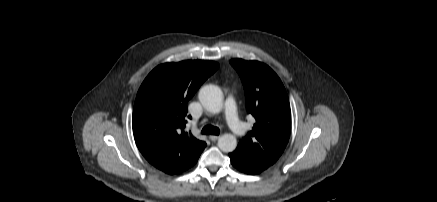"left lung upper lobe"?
Instances as JSON below:
<instances>
[{
  "mask_svg": "<svg viewBox=\"0 0 437 202\" xmlns=\"http://www.w3.org/2000/svg\"><path fill=\"white\" fill-rule=\"evenodd\" d=\"M230 63L243 82L247 112L256 120L236 149L269 167L281 156L290 136L291 110L286 90L264 63L242 59Z\"/></svg>",
  "mask_w": 437,
  "mask_h": 202,
  "instance_id": "obj_1",
  "label": "left lung upper lobe"
}]
</instances>
